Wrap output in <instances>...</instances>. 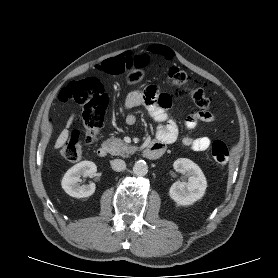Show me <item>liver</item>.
Segmentation results:
<instances>
[{
	"label": "liver",
	"mask_w": 278,
	"mask_h": 278,
	"mask_svg": "<svg viewBox=\"0 0 278 278\" xmlns=\"http://www.w3.org/2000/svg\"><path fill=\"white\" fill-rule=\"evenodd\" d=\"M72 120H73V116H71L70 119L68 120L66 125L67 128L71 125ZM68 135H69V131L67 129H64L59 135L54 147L57 149L63 146L68 139Z\"/></svg>",
	"instance_id": "liver-1"
}]
</instances>
